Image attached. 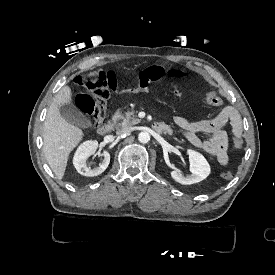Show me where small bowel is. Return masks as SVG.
Returning a JSON list of instances; mask_svg holds the SVG:
<instances>
[{
  "mask_svg": "<svg viewBox=\"0 0 275 275\" xmlns=\"http://www.w3.org/2000/svg\"><path fill=\"white\" fill-rule=\"evenodd\" d=\"M163 75L166 81L187 82L193 78V71L190 68H166L163 73L159 67L145 68L141 72V80L138 85L130 84L127 88L122 86L120 76L116 69L109 68L105 72L108 94L112 98H120L126 95H141L150 89L152 80H159ZM174 123L182 130L184 136L190 144L207 154L213 156L220 165H226L229 162V143L226 132L223 127L230 124L234 137L233 147L236 146V140L240 139L242 133V120L238 110L232 106L223 108L213 119L203 121H190L182 116L173 117ZM171 130V129H170ZM199 133H211V138L202 140Z\"/></svg>",
  "mask_w": 275,
  "mask_h": 275,
  "instance_id": "1",
  "label": "small bowel"
}]
</instances>
